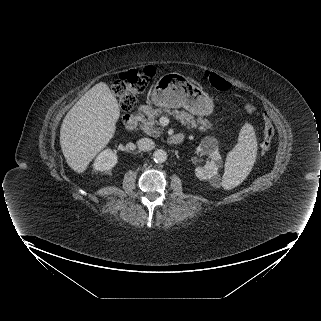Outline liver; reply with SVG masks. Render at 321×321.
<instances>
[{
    "label": "liver",
    "instance_id": "obj_1",
    "mask_svg": "<svg viewBox=\"0 0 321 321\" xmlns=\"http://www.w3.org/2000/svg\"><path fill=\"white\" fill-rule=\"evenodd\" d=\"M120 108L108 85L100 82L87 91L66 114L60 145L67 164L83 173L116 131Z\"/></svg>",
    "mask_w": 321,
    "mask_h": 321
}]
</instances>
